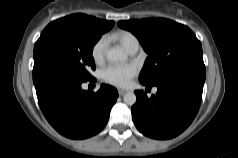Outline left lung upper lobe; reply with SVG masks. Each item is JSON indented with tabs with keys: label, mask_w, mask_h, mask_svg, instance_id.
Instances as JSON below:
<instances>
[{
	"label": "left lung upper lobe",
	"mask_w": 238,
	"mask_h": 158,
	"mask_svg": "<svg viewBox=\"0 0 238 158\" xmlns=\"http://www.w3.org/2000/svg\"><path fill=\"white\" fill-rule=\"evenodd\" d=\"M131 31L149 54L140 73L143 85L154 86L162 79L192 68H203L202 46L185 25L165 18L119 21Z\"/></svg>",
	"instance_id": "left-lung-upper-lobe-1"
}]
</instances>
